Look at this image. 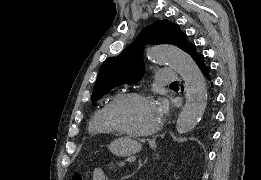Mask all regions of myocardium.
I'll return each mask as SVG.
<instances>
[{
    "mask_svg": "<svg viewBox=\"0 0 261 180\" xmlns=\"http://www.w3.org/2000/svg\"><path fill=\"white\" fill-rule=\"evenodd\" d=\"M129 98H145V99L155 100L151 94H149L145 91H138V90L137 91H127V92H122V93L117 94L109 101V103L103 110V120H104L106 127L108 128V130L112 133V135L114 137H118V138L140 139V140H150V139L154 138L160 131V129L163 125V121H164L165 114L161 107L158 108L157 120H156L154 127L152 128V130L149 133L144 134V135L134 136V135L124 134V133L120 132L116 128L114 123L111 121V119L109 117V110L113 106H116L123 100L129 99Z\"/></svg>",
    "mask_w": 261,
    "mask_h": 180,
    "instance_id": "myocardium-1",
    "label": "myocardium"
}]
</instances>
